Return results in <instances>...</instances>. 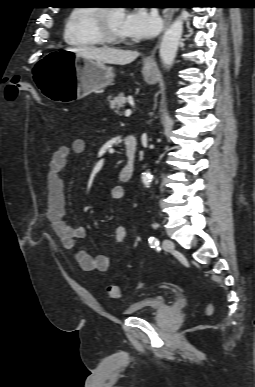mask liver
I'll list each match as a JSON object with an SVG mask.
<instances>
[{"instance_id":"6515ba94","label":"liver","mask_w":255,"mask_h":387,"mask_svg":"<svg viewBox=\"0 0 255 387\" xmlns=\"http://www.w3.org/2000/svg\"><path fill=\"white\" fill-rule=\"evenodd\" d=\"M75 52L82 58L94 60L103 64L127 65L137 59L139 53L137 51L120 50L108 47H78L68 49Z\"/></svg>"}]
</instances>
